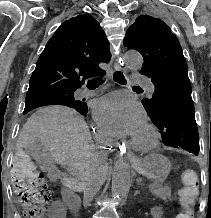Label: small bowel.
<instances>
[{
	"label": "small bowel",
	"mask_w": 211,
	"mask_h": 218,
	"mask_svg": "<svg viewBox=\"0 0 211 218\" xmlns=\"http://www.w3.org/2000/svg\"><path fill=\"white\" fill-rule=\"evenodd\" d=\"M52 214H55V209H52ZM151 218H163V209L161 206H155L150 212Z\"/></svg>",
	"instance_id": "c3829d8e"
}]
</instances>
